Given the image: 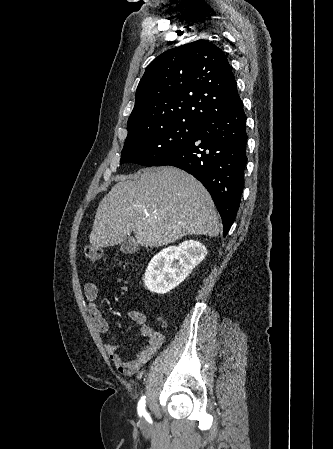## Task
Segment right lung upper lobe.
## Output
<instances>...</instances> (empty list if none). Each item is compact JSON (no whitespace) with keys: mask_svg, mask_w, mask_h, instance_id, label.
<instances>
[{"mask_svg":"<svg viewBox=\"0 0 333 449\" xmlns=\"http://www.w3.org/2000/svg\"><path fill=\"white\" fill-rule=\"evenodd\" d=\"M240 99L223 51L207 40L170 49L146 68L127 139L176 121L201 123Z\"/></svg>","mask_w":333,"mask_h":449,"instance_id":"cb5924a9","label":"right lung upper lobe"}]
</instances>
